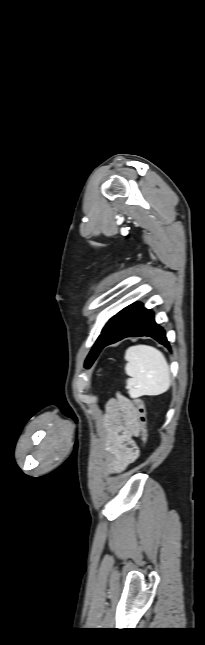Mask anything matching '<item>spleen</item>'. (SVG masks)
I'll use <instances>...</instances> for the list:
<instances>
[{
    "instance_id": "1",
    "label": "spleen",
    "mask_w": 205,
    "mask_h": 645,
    "mask_svg": "<svg viewBox=\"0 0 205 645\" xmlns=\"http://www.w3.org/2000/svg\"><path fill=\"white\" fill-rule=\"evenodd\" d=\"M126 388L132 398L157 396L171 384L170 369L163 353L147 345L129 347L125 352Z\"/></svg>"
}]
</instances>
